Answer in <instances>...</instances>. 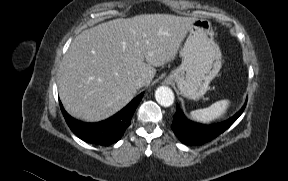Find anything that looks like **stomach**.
I'll return each mask as SVG.
<instances>
[{
  "label": "stomach",
  "mask_w": 288,
  "mask_h": 181,
  "mask_svg": "<svg viewBox=\"0 0 288 181\" xmlns=\"http://www.w3.org/2000/svg\"><path fill=\"white\" fill-rule=\"evenodd\" d=\"M181 56V65L168 75L167 81L175 82L184 97L199 99L207 92L222 64V54L214 41L210 21L194 19Z\"/></svg>",
  "instance_id": "stomach-1"
}]
</instances>
